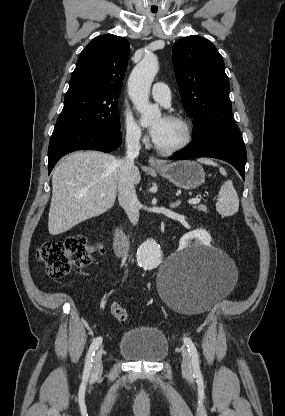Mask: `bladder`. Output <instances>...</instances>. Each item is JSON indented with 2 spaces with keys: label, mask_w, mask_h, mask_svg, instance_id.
Returning a JSON list of instances; mask_svg holds the SVG:
<instances>
[{
  "label": "bladder",
  "mask_w": 285,
  "mask_h": 416,
  "mask_svg": "<svg viewBox=\"0 0 285 416\" xmlns=\"http://www.w3.org/2000/svg\"><path fill=\"white\" fill-rule=\"evenodd\" d=\"M118 353L130 361L156 362L168 354V341L160 329L138 326L125 330Z\"/></svg>",
  "instance_id": "obj_1"
}]
</instances>
